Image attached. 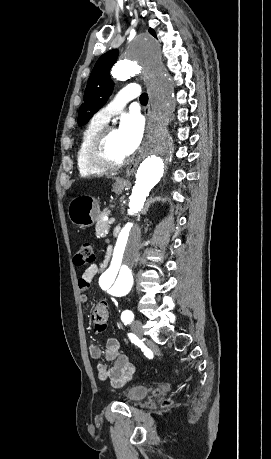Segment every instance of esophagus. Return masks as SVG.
Returning <instances> with one entry per match:
<instances>
[{
	"mask_svg": "<svg viewBox=\"0 0 271 459\" xmlns=\"http://www.w3.org/2000/svg\"><path fill=\"white\" fill-rule=\"evenodd\" d=\"M146 82V80H145ZM148 93H149V90L147 89ZM150 99H151V95L149 93V102L148 104L146 105V107H144V115H145V118L147 119V122L149 123L150 121V113H151V108H150ZM141 158H142V153L141 151L138 152L135 160L130 164V166L128 167V169L126 170V176L125 178H118L115 182L116 185H124L126 179L128 177H130V175L134 172V170L136 169L138 163L141 161Z\"/></svg>",
	"mask_w": 271,
	"mask_h": 459,
	"instance_id": "obj_1",
	"label": "esophagus"
}]
</instances>
